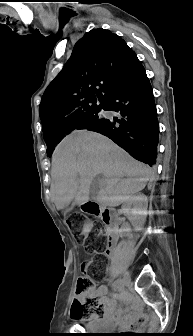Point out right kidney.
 Masks as SVG:
<instances>
[{
    "label": "right kidney",
    "mask_w": 193,
    "mask_h": 336,
    "mask_svg": "<svg viewBox=\"0 0 193 336\" xmlns=\"http://www.w3.org/2000/svg\"><path fill=\"white\" fill-rule=\"evenodd\" d=\"M148 199L144 194L127 197L122 205V211L129 216L132 225L140 230L147 216Z\"/></svg>",
    "instance_id": "obj_1"
}]
</instances>
